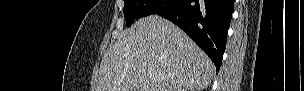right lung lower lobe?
<instances>
[{
  "instance_id": "right-lung-lower-lobe-1",
  "label": "right lung lower lobe",
  "mask_w": 304,
  "mask_h": 91,
  "mask_svg": "<svg viewBox=\"0 0 304 91\" xmlns=\"http://www.w3.org/2000/svg\"><path fill=\"white\" fill-rule=\"evenodd\" d=\"M233 11V0H169L153 14L179 26L212 59L218 71Z\"/></svg>"
}]
</instances>
